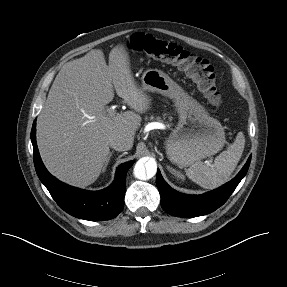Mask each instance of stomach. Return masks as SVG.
I'll use <instances>...</instances> for the list:
<instances>
[{"label":"stomach","instance_id":"obj_1","mask_svg":"<svg viewBox=\"0 0 287 287\" xmlns=\"http://www.w3.org/2000/svg\"><path fill=\"white\" fill-rule=\"evenodd\" d=\"M143 91L160 93L174 101L179 121L165 141L169 160L184 167L219 152L226 140L221 123L166 73L148 69L141 77Z\"/></svg>","mask_w":287,"mask_h":287}]
</instances>
